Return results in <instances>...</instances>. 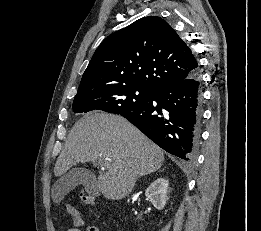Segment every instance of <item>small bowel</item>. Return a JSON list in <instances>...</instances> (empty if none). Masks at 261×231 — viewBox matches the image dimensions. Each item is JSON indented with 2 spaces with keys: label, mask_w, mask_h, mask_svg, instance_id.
I'll use <instances>...</instances> for the list:
<instances>
[{
  "label": "small bowel",
  "mask_w": 261,
  "mask_h": 231,
  "mask_svg": "<svg viewBox=\"0 0 261 231\" xmlns=\"http://www.w3.org/2000/svg\"><path fill=\"white\" fill-rule=\"evenodd\" d=\"M64 207L67 213L71 216L73 223V226L68 228L66 231H82L84 220L79 211L70 202H64ZM85 231H99V229L97 227L89 226L85 227Z\"/></svg>",
  "instance_id": "c3829d8e"
}]
</instances>
